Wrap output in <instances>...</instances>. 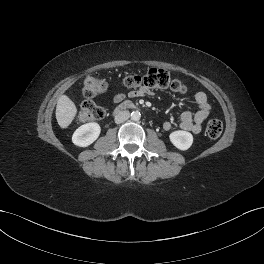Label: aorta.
<instances>
[{
    "instance_id": "aorta-1",
    "label": "aorta",
    "mask_w": 264,
    "mask_h": 264,
    "mask_svg": "<svg viewBox=\"0 0 264 264\" xmlns=\"http://www.w3.org/2000/svg\"><path fill=\"white\" fill-rule=\"evenodd\" d=\"M140 118H141V114H140L139 111H133V112L131 113V119H132L133 121H139Z\"/></svg>"
}]
</instances>
